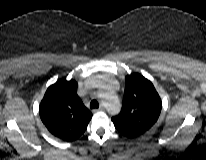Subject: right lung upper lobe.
<instances>
[{"mask_svg":"<svg viewBox=\"0 0 206 160\" xmlns=\"http://www.w3.org/2000/svg\"><path fill=\"white\" fill-rule=\"evenodd\" d=\"M76 91L75 80L60 79L48 87L39 106L40 118L48 131L67 142L79 138L92 118Z\"/></svg>","mask_w":206,"mask_h":160,"instance_id":"1","label":"right lung upper lobe"}]
</instances>
